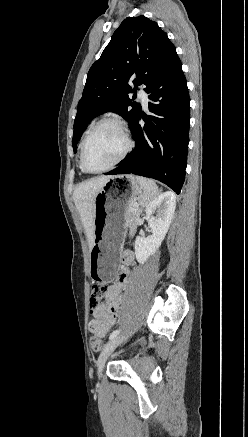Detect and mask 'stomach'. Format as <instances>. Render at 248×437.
<instances>
[{"mask_svg":"<svg viewBox=\"0 0 248 437\" xmlns=\"http://www.w3.org/2000/svg\"><path fill=\"white\" fill-rule=\"evenodd\" d=\"M142 189L130 174L110 178L95 196L94 244L90 252L92 279L96 286H113L123 238L128 225L126 211ZM141 205V204H140Z\"/></svg>","mask_w":248,"mask_h":437,"instance_id":"1","label":"stomach"}]
</instances>
